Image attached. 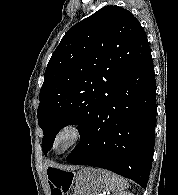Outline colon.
<instances>
[{
	"instance_id": "obj_1",
	"label": "colon",
	"mask_w": 178,
	"mask_h": 195,
	"mask_svg": "<svg viewBox=\"0 0 178 195\" xmlns=\"http://www.w3.org/2000/svg\"><path fill=\"white\" fill-rule=\"evenodd\" d=\"M71 178L67 180V183L63 186V192H66L70 186Z\"/></svg>"
}]
</instances>
